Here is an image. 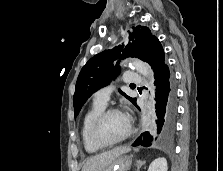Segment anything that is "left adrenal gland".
I'll use <instances>...</instances> for the list:
<instances>
[{"label": "left adrenal gland", "instance_id": "obj_1", "mask_svg": "<svg viewBox=\"0 0 223 171\" xmlns=\"http://www.w3.org/2000/svg\"><path fill=\"white\" fill-rule=\"evenodd\" d=\"M145 164V161H142V160H138L136 162V165H137V170L136 171H140V168Z\"/></svg>", "mask_w": 223, "mask_h": 171}]
</instances>
